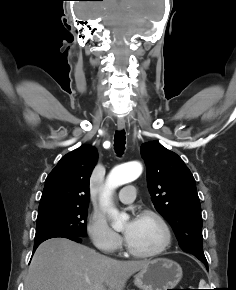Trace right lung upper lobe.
<instances>
[{
    "label": "right lung upper lobe",
    "mask_w": 236,
    "mask_h": 290,
    "mask_svg": "<svg viewBox=\"0 0 236 290\" xmlns=\"http://www.w3.org/2000/svg\"><path fill=\"white\" fill-rule=\"evenodd\" d=\"M97 157L96 149L89 145L63 156L46 178L39 209L50 206H88L89 181Z\"/></svg>",
    "instance_id": "obj_1"
}]
</instances>
